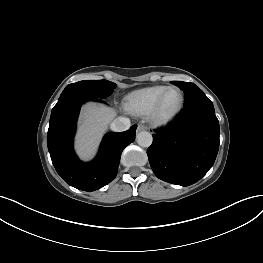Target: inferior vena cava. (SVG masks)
I'll use <instances>...</instances> for the list:
<instances>
[{
	"instance_id": "1",
	"label": "inferior vena cava",
	"mask_w": 263,
	"mask_h": 263,
	"mask_svg": "<svg viewBox=\"0 0 263 263\" xmlns=\"http://www.w3.org/2000/svg\"><path fill=\"white\" fill-rule=\"evenodd\" d=\"M110 128L115 132L126 131L130 128V119L118 117L110 124Z\"/></svg>"
}]
</instances>
